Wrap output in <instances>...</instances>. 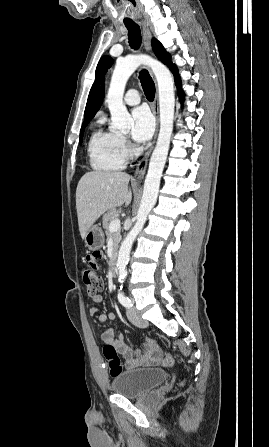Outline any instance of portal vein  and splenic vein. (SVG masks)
<instances>
[{
    "mask_svg": "<svg viewBox=\"0 0 269 447\" xmlns=\"http://www.w3.org/2000/svg\"><path fill=\"white\" fill-rule=\"evenodd\" d=\"M120 227V220H112L111 224L109 225L110 231H117Z\"/></svg>",
    "mask_w": 269,
    "mask_h": 447,
    "instance_id": "portal-vein-and-splenic-vein-1",
    "label": "portal vein and splenic vein"
}]
</instances>
